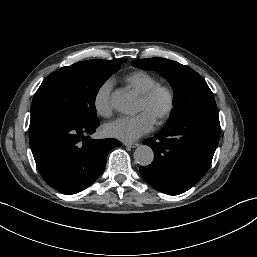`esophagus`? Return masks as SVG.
<instances>
[{"label": "esophagus", "instance_id": "34e87169", "mask_svg": "<svg viewBox=\"0 0 257 257\" xmlns=\"http://www.w3.org/2000/svg\"><path fill=\"white\" fill-rule=\"evenodd\" d=\"M123 145L129 148H136L139 146V143L123 142Z\"/></svg>", "mask_w": 257, "mask_h": 257}]
</instances>
